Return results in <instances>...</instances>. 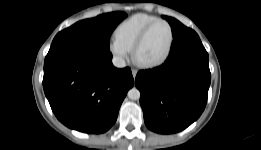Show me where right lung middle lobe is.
I'll return each instance as SVG.
<instances>
[{
    "label": "right lung middle lobe",
    "instance_id": "1",
    "mask_svg": "<svg viewBox=\"0 0 261 150\" xmlns=\"http://www.w3.org/2000/svg\"><path fill=\"white\" fill-rule=\"evenodd\" d=\"M126 16L124 12H112L79 21L59 32L55 36L50 50L64 47H83L109 51L110 35Z\"/></svg>",
    "mask_w": 261,
    "mask_h": 150
}]
</instances>
